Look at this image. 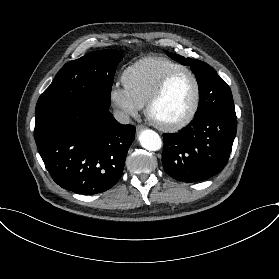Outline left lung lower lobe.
Wrapping results in <instances>:
<instances>
[{"mask_svg": "<svg viewBox=\"0 0 279 279\" xmlns=\"http://www.w3.org/2000/svg\"><path fill=\"white\" fill-rule=\"evenodd\" d=\"M236 131V116L207 112L179 133L164 134L165 172L182 182L216 175L228 162Z\"/></svg>", "mask_w": 279, "mask_h": 279, "instance_id": "1", "label": "left lung lower lobe"}]
</instances>
